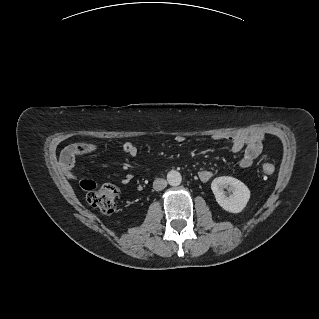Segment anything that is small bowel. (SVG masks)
<instances>
[{
  "label": "small bowel",
  "instance_id": "small-bowel-1",
  "mask_svg": "<svg viewBox=\"0 0 319 319\" xmlns=\"http://www.w3.org/2000/svg\"><path fill=\"white\" fill-rule=\"evenodd\" d=\"M216 140L226 142L233 153L243 151L242 156L238 161V166L241 169H246L252 166L255 159L261 153L262 149V133H251V132H232L226 134H219L215 137ZM123 151L129 156H136L138 149L130 141H124L122 143ZM213 176L210 170L202 169L197 173V178L201 182L209 181ZM132 179L131 175H127L123 180V184H128Z\"/></svg>",
  "mask_w": 319,
  "mask_h": 319
}]
</instances>
